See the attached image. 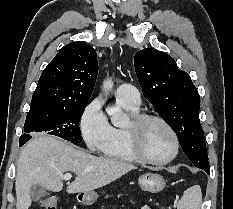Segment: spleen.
Masks as SVG:
<instances>
[{
    "label": "spleen",
    "instance_id": "3e777b00",
    "mask_svg": "<svg viewBox=\"0 0 233 209\" xmlns=\"http://www.w3.org/2000/svg\"><path fill=\"white\" fill-rule=\"evenodd\" d=\"M202 192L199 185L188 188L178 203V209H200Z\"/></svg>",
    "mask_w": 233,
    "mask_h": 209
}]
</instances>
